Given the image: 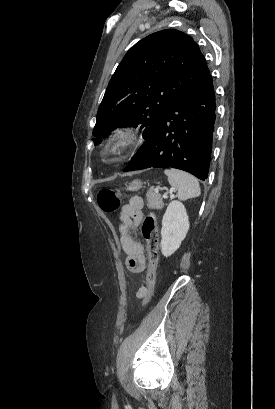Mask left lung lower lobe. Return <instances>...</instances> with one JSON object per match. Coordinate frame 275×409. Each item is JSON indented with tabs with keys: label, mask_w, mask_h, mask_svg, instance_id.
I'll list each match as a JSON object with an SVG mask.
<instances>
[{
	"label": "left lung lower lobe",
	"mask_w": 275,
	"mask_h": 409,
	"mask_svg": "<svg viewBox=\"0 0 275 409\" xmlns=\"http://www.w3.org/2000/svg\"><path fill=\"white\" fill-rule=\"evenodd\" d=\"M215 110V92L209 73L168 109L124 171L172 167L201 180L207 179Z\"/></svg>",
	"instance_id": "0a47b994"
}]
</instances>
